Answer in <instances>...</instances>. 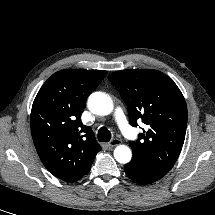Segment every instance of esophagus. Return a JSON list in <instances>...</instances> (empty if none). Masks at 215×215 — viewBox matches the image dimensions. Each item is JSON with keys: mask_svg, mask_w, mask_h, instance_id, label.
Wrapping results in <instances>:
<instances>
[{"mask_svg": "<svg viewBox=\"0 0 215 215\" xmlns=\"http://www.w3.org/2000/svg\"><path fill=\"white\" fill-rule=\"evenodd\" d=\"M121 143H122V141H121L120 139L115 138V139L111 140V141L107 144V146H108L109 148H112V147H115V146L120 145Z\"/></svg>", "mask_w": 215, "mask_h": 215, "instance_id": "esophagus-1", "label": "esophagus"}]
</instances>
